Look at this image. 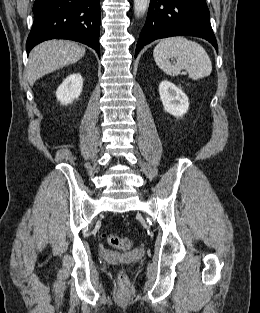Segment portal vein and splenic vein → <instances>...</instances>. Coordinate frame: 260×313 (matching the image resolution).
I'll use <instances>...</instances> for the list:
<instances>
[{
	"label": "portal vein and splenic vein",
	"instance_id": "portal-vein-and-splenic-vein-1",
	"mask_svg": "<svg viewBox=\"0 0 260 313\" xmlns=\"http://www.w3.org/2000/svg\"><path fill=\"white\" fill-rule=\"evenodd\" d=\"M182 74H183V75H186V72H183Z\"/></svg>",
	"mask_w": 260,
	"mask_h": 313
}]
</instances>
